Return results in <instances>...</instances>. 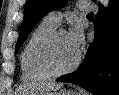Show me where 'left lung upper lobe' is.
I'll use <instances>...</instances> for the list:
<instances>
[{"label": "left lung upper lobe", "mask_w": 119, "mask_h": 95, "mask_svg": "<svg viewBox=\"0 0 119 95\" xmlns=\"http://www.w3.org/2000/svg\"><path fill=\"white\" fill-rule=\"evenodd\" d=\"M68 0H28L24 10V20L16 44V53L30 31L47 13L58 10L66 5Z\"/></svg>", "instance_id": "obj_1"}]
</instances>
